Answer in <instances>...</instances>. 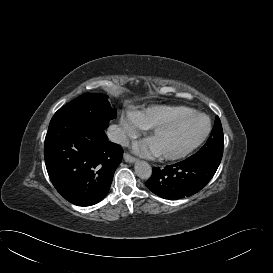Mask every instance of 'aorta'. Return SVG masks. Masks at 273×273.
Segmentation results:
<instances>
[{"mask_svg": "<svg viewBox=\"0 0 273 273\" xmlns=\"http://www.w3.org/2000/svg\"><path fill=\"white\" fill-rule=\"evenodd\" d=\"M134 169L136 175L141 179H149L152 175V168L146 161H137Z\"/></svg>", "mask_w": 273, "mask_h": 273, "instance_id": "762f6f07", "label": "aorta"}]
</instances>
